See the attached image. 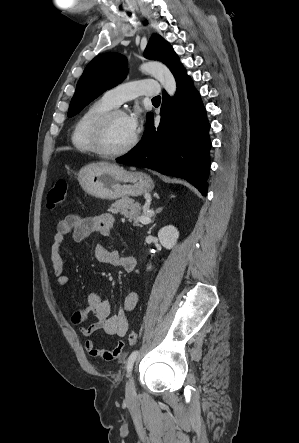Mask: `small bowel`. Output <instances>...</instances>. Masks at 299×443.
Returning <instances> with one entry per match:
<instances>
[{"label": "small bowel", "mask_w": 299, "mask_h": 443, "mask_svg": "<svg viewBox=\"0 0 299 443\" xmlns=\"http://www.w3.org/2000/svg\"><path fill=\"white\" fill-rule=\"evenodd\" d=\"M114 224L115 219L111 214L93 217L71 214L58 222L51 246V260L57 285L60 288H66L69 284L61 256V246L67 236L72 234L74 241L80 242L91 234L98 233L104 239L109 236ZM94 256L98 262L118 266L126 272H132L137 266L136 256L121 255L118 250L107 247L103 240L95 245ZM137 304V293L130 291L124 296L122 310L117 314H111L110 303L99 294L90 293L87 297V305L75 311L71 320L75 325H80L85 320L86 315L92 312L97 320L86 327H80V332L84 337L88 338L95 332L102 330L109 336L122 338L128 330L126 313L133 311ZM85 347L92 357L110 361L120 356L124 348V342L120 340L111 349H101L95 346L93 340L87 339Z\"/></svg>", "instance_id": "obj_1"}]
</instances>
